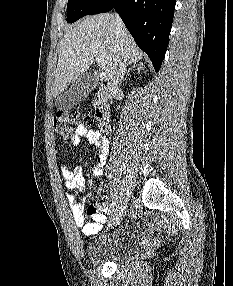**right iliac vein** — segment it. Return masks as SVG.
<instances>
[{
    "mask_svg": "<svg viewBox=\"0 0 233 286\" xmlns=\"http://www.w3.org/2000/svg\"><path fill=\"white\" fill-rule=\"evenodd\" d=\"M124 213H125V205H123L122 203L118 206L116 212L114 213L113 218L110 220L109 222V226H115L117 224H119L123 217H124Z\"/></svg>",
    "mask_w": 233,
    "mask_h": 286,
    "instance_id": "1",
    "label": "right iliac vein"
}]
</instances>
